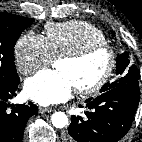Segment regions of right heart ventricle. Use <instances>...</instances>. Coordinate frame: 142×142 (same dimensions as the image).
Returning <instances> with one entry per match:
<instances>
[{"label": "right heart ventricle", "mask_w": 142, "mask_h": 142, "mask_svg": "<svg viewBox=\"0 0 142 142\" xmlns=\"http://www.w3.org/2000/svg\"><path fill=\"white\" fill-rule=\"evenodd\" d=\"M44 39L52 58H59L88 45L105 43V35L99 28L77 20L47 24Z\"/></svg>", "instance_id": "right-heart-ventricle-1"}]
</instances>
